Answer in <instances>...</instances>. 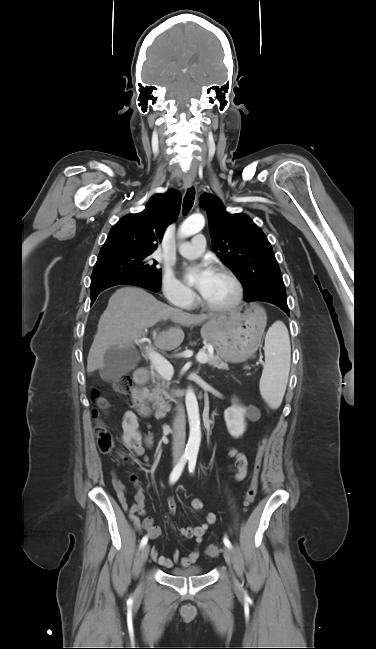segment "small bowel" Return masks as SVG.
I'll return each instance as SVG.
<instances>
[{"mask_svg":"<svg viewBox=\"0 0 376 649\" xmlns=\"http://www.w3.org/2000/svg\"><path fill=\"white\" fill-rule=\"evenodd\" d=\"M254 410V409H252ZM122 442L123 444L130 449L133 454L140 456L144 454L145 447L150 446L152 443L151 436L148 435L144 437L140 421L137 414L134 411L125 412L122 420ZM235 456V479L237 481H242L247 474L248 462L246 457L239 452H232ZM112 477V486L115 491L117 500L126 512L128 518L133 522L135 527L139 529L143 527L151 539H156L161 535L160 527L154 525L151 518L146 517L142 522L140 521L138 515H145V494L141 486V482L138 476L134 473H131L129 476L130 481L136 488V493L134 495V502L128 503L127 501V488L124 483L119 480L114 471L111 472ZM166 507L169 514L173 515L176 511V503L173 498H168L166 501ZM191 508L195 512H199L203 509V504L200 500L194 499L191 502ZM217 516L216 514L210 512L207 513L204 519V522L196 527H183L180 528V534L188 539H193L194 548L193 550L185 557L181 556L179 550L173 552L172 558L165 557L159 554L156 548H152L150 552L151 558L160 566L165 568H172L175 564H179L182 567H188L191 564L195 563L199 558L198 547L203 541V537L207 530L216 523Z\"/></svg>","mask_w":376,"mask_h":649,"instance_id":"obj_1","label":"small bowel"}]
</instances>
